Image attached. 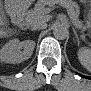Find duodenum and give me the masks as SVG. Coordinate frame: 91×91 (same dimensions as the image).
Wrapping results in <instances>:
<instances>
[{
    "label": "duodenum",
    "instance_id": "duodenum-1",
    "mask_svg": "<svg viewBox=\"0 0 91 91\" xmlns=\"http://www.w3.org/2000/svg\"><path fill=\"white\" fill-rule=\"evenodd\" d=\"M15 23L19 26H22L24 24V14L21 11H14L12 13Z\"/></svg>",
    "mask_w": 91,
    "mask_h": 91
}]
</instances>
